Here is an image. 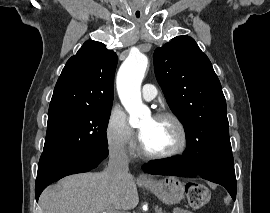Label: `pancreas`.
<instances>
[{
  "mask_svg": "<svg viewBox=\"0 0 270 213\" xmlns=\"http://www.w3.org/2000/svg\"><path fill=\"white\" fill-rule=\"evenodd\" d=\"M155 213H166V211H163L161 208L155 207Z\"/></svg>",
  "mask_w": 270,
  "mask_h": 213,
  "instance_id": "pancreas-1",
  "label": "pancreas"
}]
</instances>
